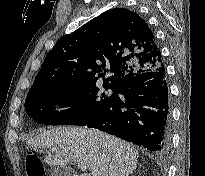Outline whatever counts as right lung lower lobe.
Here are the masks:
<instances>
[{
    "instance_id": "1",
    "label": "right lung lower lobe",
    "mask_w": 205,
    "mask_h": 176,
    "mask_svg": "<svg viewBox=\"0 0 205 176\" xmlns=\"http://www.w3.org/2000/svg\"><path fill=\"white\" fill-rule=\"evenodd\" d=\"M169 104L163 64L120 84L111 102L86 126L164 154L171 145Z\"/></svg>"
}]
</instances>
